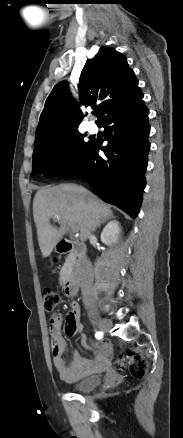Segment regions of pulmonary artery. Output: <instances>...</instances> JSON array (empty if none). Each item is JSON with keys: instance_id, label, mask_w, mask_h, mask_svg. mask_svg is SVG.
<instances>
[{"instance_id": "1", "label": "pulmonary artery", "mask_w": 183, "mask_h": 438, "mask_svg": "<svg viewBox=\"0 0 183 438\" xmlns=\"http://www.w3.org/2000/svg\"><path fill=\"white\" fill-rule=\"evenodd\" d=\"M87 130L90 133H95L97 131V126L94 123L90 122L87 124Z\"/></svg>"}]
</instances>
